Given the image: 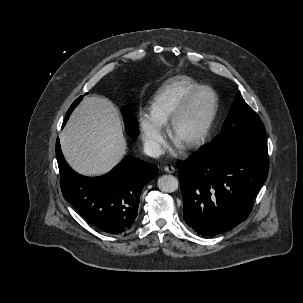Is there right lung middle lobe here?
<instances>
[{
    "instance_id": "obj_1",
    "label": "right lung middle lobe",
    "mask_w": 303,
    "mask_h": 303,
    "mask_svg": "<svg viewBox=\"0 0 303 303\" xmlns=\"http://www.w3.org/2000/svg\"><path fill=\"white\" fill-rule=\"evenodd\" d=\"M82 100V96L79 97L74 101V103L71 105V107L68 109L66 117L64 119L63 125L67 122L71 112L73 109L77 106V104ZM124 122L126 125L127 132L130 134V136L136 138L138 136V124H137V119L135 118L134 114H132L129 109L125 108L124 109Z\"/></svg>"
}]
</instances>
